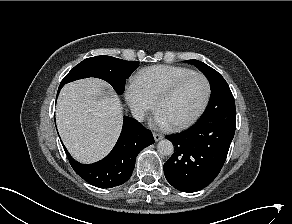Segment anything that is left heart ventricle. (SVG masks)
Returning <instances> with one entry per match:
<instances>
[{
    "mask_svg": "<svg viewBox=\"0 0 292 224\" xmlns=\"http://www.w3.org/2000/svg\"><path fill=\"white\" fill-rule=\"evenodd\" d=\"M206 94L203 79L194 77L187 81L172 97L158 108L170 125L190 119L202 105Z\"/></svg>",
    "mask_w": 292,
    "mask_h": 224,
    "instance_id": "b2bd125f",
    "label": "left heart ventricle"
}]
</instances>
